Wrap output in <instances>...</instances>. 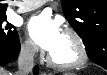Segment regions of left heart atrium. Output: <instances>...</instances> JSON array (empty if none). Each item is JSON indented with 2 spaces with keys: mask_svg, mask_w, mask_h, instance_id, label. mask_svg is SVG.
I'll use <instances>...</instances> for the list:
<instances>
[{
  "mask_svg": "<svg viewBox=\"0 0 107 75\" xmlns=\"http://www.w3.org/2000/svg\"><path fill=\"white\" fill-rule=\"evenodd\" d=\"M27 30L34 42L49 53L55 50L63 35L59 22L49 12L33 16Z\"/></svg>",
  "mask_w": 107,
  "mask_h": 75,
  "instance_id": "obj_1",
  "label": "left heart atrium"
}]
</instances>
